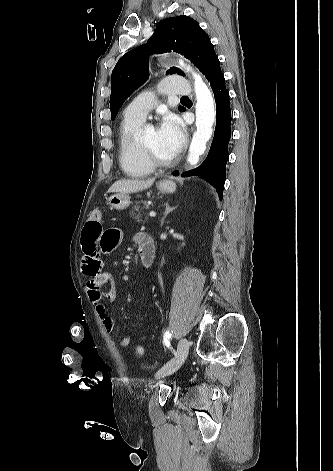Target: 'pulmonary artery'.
Segmentation results:
<instances>
[{"instance_id": "obj_1", "label": "pulmonary artery", "mask_w": 333, "mask_h": 471, "mask_svg": "<svg viewBox=\"0 0 333 471\" xmlns=\"http://www.w3.org/2000/svg\"><path fill=\"white\" fill-rule=\"evenodd\" d=\"M160 89L168 95H189L192 91L189 82L182 76L174 75L160 84ZM154 104V95L145 92L137 96L124 110V117L144 120Z\"/></svg>"}]
</instances>
